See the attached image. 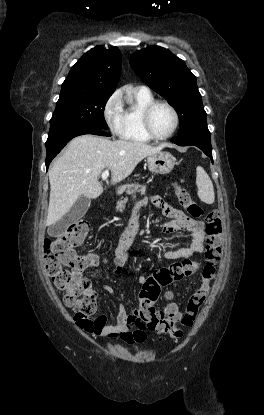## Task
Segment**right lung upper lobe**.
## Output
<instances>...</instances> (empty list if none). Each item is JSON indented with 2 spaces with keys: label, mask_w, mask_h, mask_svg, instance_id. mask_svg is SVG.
<instances>
[{
  "label": "right lung upper lobe",
  "mask_w": 264,
  "mask_h": 415,
  "mask_svg": "<svg viewBox=\"0 0 264 415\" xmlns=\"http://www.w3.org/2000/svg\"><path fill=\"white\" fill-rule=\"evenodd\" d=\"M121 71L118 47L97 46L84 54L71 68L60 95L112 94Z\"/></svg>",
  "instance_id": "1"
}]
</instances>
